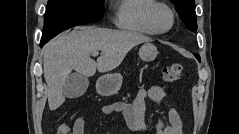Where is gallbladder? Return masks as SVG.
Segmentation results:
<instances>
[{
	"label": "gallbladder",
	"instance_id": "bac80fb5",
	"mask_svg": "<svg viewBox=\"0 0 239 134\" xmlns=\"http://www.w3.org/2000/svg\"><path fill=\"white\" fill-rule=\"evenodd\" d=\"M88 85V77L78 72L72 73L67 77L64 83V95L67 98H78L86 92Z\"/></svg>",
	"mask_w": 239,
	"mask_h": 134
}]
</instances>
